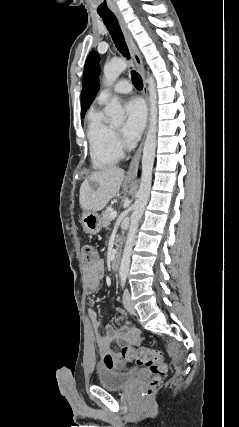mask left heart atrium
I'll use <instances>...</instances> for the list:
<instances>
[{
  "instance_id": "obj_1",
  "label": "left heart atrium",
  "mask_w": 239,
  "mask_h": 427,
  "mask_svg": "<svg viewBox=\"0 0 239 427\" xmlns=\"http://www.w3.org/2000/svg\"><path fill=\"white\" fill-rule=\"evenodd\" d=\"M126 121L123 135L129 143L135 142L141 135L146 121V112L139 99H132L125 105Z\"/></svg>"
}]
</instances>
